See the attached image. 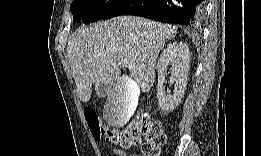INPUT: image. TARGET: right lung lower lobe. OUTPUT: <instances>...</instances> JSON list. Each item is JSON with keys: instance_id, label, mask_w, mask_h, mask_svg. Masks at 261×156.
<instances>
[{"instance_id": "1", "label": "right lung lower lobe", "mask_w": 261, "mask_h": 156, "mask_svg": "<svg viewBox=\"0 0 261 156\" xmlns=\"http://www.w3.org/2000/svg\"><path fill=\"white\" fill-rule=\"evenodd\" d=\"M203 10L202 0H120L103 18L136 15L194 28L200 24Z\"/></svg>"}]
</instances>
